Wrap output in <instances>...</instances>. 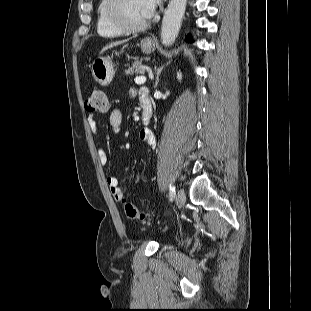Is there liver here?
I'll return each instance as SVG.
<instances>
[{
  "instance_id": "1",
  "label": "liver",
  "mask_w": 311,
  "mask_h": 311,
  "mask_svg": "<svg viewBox=\"0 0 311 311\" xmlns=\"http://www.w3.org/2000/svg\"><path fill=\"white\" fill-rule=\"evenodd\" d=\"M126 41H127V40H122V41H116V42H114V43H111V44H109V45L103 47V49L101 50V53L105 52L106 50H108V49H110V48H112V47H114V46L120 45V44H122V43H124V42H126Z\"/></svg>"
}]
</instances>
